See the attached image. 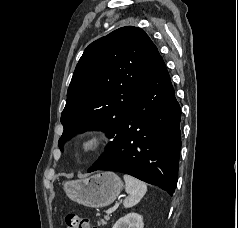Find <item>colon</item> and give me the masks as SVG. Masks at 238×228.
<instances>
[{"label": "colon", "instance_id": "5ec220e1", "mask_svg": "<svg viewBox=\"0 0 238 228\" xmlns=\"http://www.w3.org/2000/svg\"><path fill=\"white\" fill-rule=\"evenodd\" d=\"M67 228H97L93 226L88 218L76 213H69L65 216Z\"/></svg>", "mask_w": 238, "mask_h": 228}]
</instances>
